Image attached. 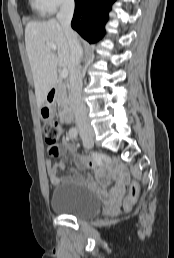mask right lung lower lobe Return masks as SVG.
Instances as JSON below:
<instances>
[{"instance_id":"right-lung-lower-lobe-1","label":"right lung lower lobe","mask_w":174,"mask_h":258,"mask_svg":"<svg viewBox=\"0 0 174 258\" xmlns=\"http://www.w3.org/2000/svg\"><path fill=\"white\" fill-rule=\"evenodd\" d=\"M115 0H75V13L71 26L90 43L99 41L105 34L108 12Z\"/></svg>"}]
</instances>
